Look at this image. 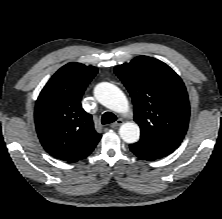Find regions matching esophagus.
Wrapping results in <instances>:
<instances>
[{
    "mask_svg": "<svg viewBox=\"0 0 222 219\" xmlns=\"http://www.w3.org/2000/svg\"><path fill=\"white\" fill-rule=\"evenodd\" d=\"M122 124H123V120L122 119H118L116 122L111 124V128H116V127H118V126H120Z\"/></svg>",
    "mask_w": 222,
    "mask_h": 219,
    "instance_id": "1",
    "label": "esophagus"
}]
</instances>
